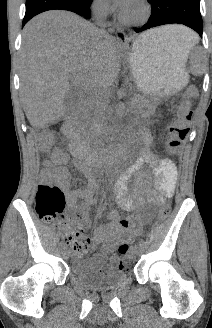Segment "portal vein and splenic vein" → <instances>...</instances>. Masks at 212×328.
Masks as SVG:
<instances>
[{"label": "portal vein and splenic vein", "instance_id": "portal-vein-and-splenic-vein-1", "mask_svg": "<svg viewBox=\"0 0 212 328\" xmlns=\"http://www.w3.org/2000/svg\"><path fill=\"white\" fill-rule=\"evenodd\" d=\"M75 75H76V78H78V79L80 78V75L79 74H75Z\"/></svg>", "mask_w": 212, "mask_h": 328}]
</instances>
